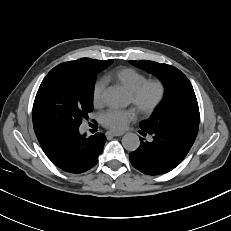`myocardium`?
I'll return each instance as SVG.
<instances>
[{"label":"myocardium","instance_id":"f54148a6","mask_svg":"<svg viewBox=\"0 0 231 231\" xmlns=\"http://www.w3.org/2000/svg\"><path fill=\"white\" fill-rule=\"evenodd\" d=\"M151 88L156 90V95L152 101L145 102L144 95ZM165 95L166 85L162 80L148 79L130 92V100L140 114L149 115L162 103Z\"/></svg>","mask_w":231,"mask_h":231}]
</instances>
